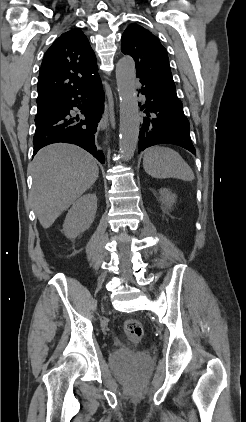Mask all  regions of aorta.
<instances>
[{"mask_svg":"<svg viewBox=\"0 0 246 422\" xmlns=\"http://www.w3.org/2000/svg\"><path fill=\"white\" fill-rule=\"evenodd\" d=\"M136 70L131 58L123 57L116 64L117 91L120 99V152L126 161L134 156L138 143L140 116L135 87Z\"/></svg>","mask_w":246,"mask_h":422,"instance_id":"762f6f07","label":"aorta"}]
</instances>
